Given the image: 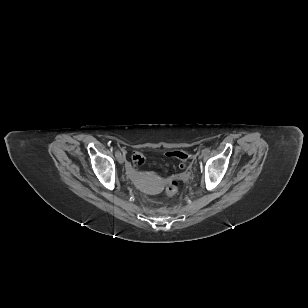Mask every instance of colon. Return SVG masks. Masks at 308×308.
Segmentation results:
<instances>
[{
  "label": "colon",
  "mask_w": 308,
  "mask_h": 308,
  "mask_svg": "<svg viewBox=\"0 0 308 308\" xmlns=\"http://www.w3.org/2000/svg\"><path fill=\"white\" fill-rule=\"evenodd\" d=\"M168 156L177 158L181 161V166H184L188 160L187 153L183 151H171L167 153ZM133 163L140 165L144 161V157L141 153H134L132 156ZM178 191V183L175 180H168L166 183V194L168 196H174Z\"/></svg>",
  "instance_id": "1"
}]
</instances>
